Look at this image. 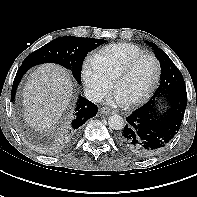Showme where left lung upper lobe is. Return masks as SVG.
Wrapping results in <instances>:
<instances>
[{"instance_id": "left-lung-upper-lobe-1", "label": "left lung upper lobe", "mask_w": 197, "mask_h": 197, "mask_svg": "<svg viewBox=\"0 0 197 197\" xmlns=\"http://www.w3.org/2000/svg\"><path fill=\"white\" fill-rule=\"evenodd\" d=\"M149 44L152 45V47L154 48V52L159 59L161 66L160 85L155 91L150 101L165 96L174 89H186L183 76L179 69L174 65L172 60L162 49L158 48L156 44Z\"/></svg>"}]
</instances>
